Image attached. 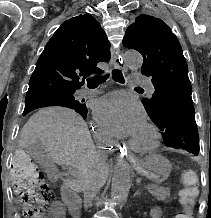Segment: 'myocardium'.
I'll return each instance as SVG.
<instances>
[{"mask_svg":"<svg viewBox=\"0 0 211 218\" xmlns=\"http://www.w3.org/2000/svg\"><path fill=\"white\" fill-rule=\"evenodd\" d=\"M145 129L149 132L150 134V141L149 143L142 145L134 142L133 140H129L127 143V146L129 147L130 150H132L135 153L138 154H149L152 151L156 149L159 143V133L156 127L152 124H146Z\"/></svg>","mask_w":211,"mask_h":218,"instance_id":"f54148a6","label":"myocardium"}]
</instances>
